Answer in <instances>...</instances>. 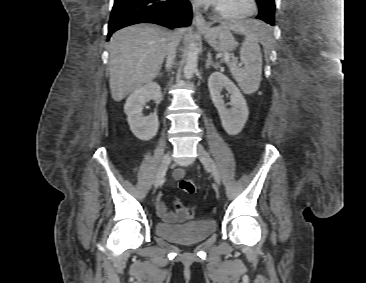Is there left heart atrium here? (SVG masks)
<instances>
[{
  "label": "left heart atrium",
  "instance_id": "obj_1",
  "mask_svg": "<svg viewBox=\"0 0 366 283\" xmlns=\"http://www.w3.org/2000/svg\"><path fill=\"white\" fill-rule=\"evenodd\" d=\"M202 3L217 4L219 0H197Z\"/></svg>",
  "mask_w": 366,
  "mask_h": 283
}]
</instances>
